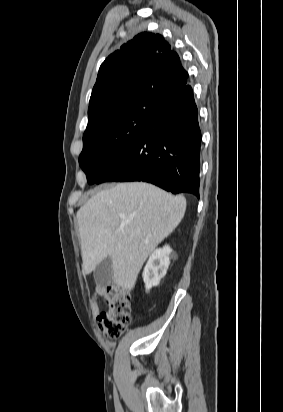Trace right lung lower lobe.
I'll return each instance as SVG.
<instances>
[{
    "label": "right lung lower lobe",
    "mask_w": 283,
    "mask_h": 412,
    "mask_svg": "<svg viewBox=\"0 0 283 412\" xmlns=\"http://www.w3.org/2000/svg\"><path fill=\"white\" fill-rule=\"evenodd\" d=\"M200 145L198 110L192 88L186 84L95 183L145 181L199 198Z\"/></svg>",
    "instance_id": "right-lung-lower-lobe-1"
}]
</instances>
